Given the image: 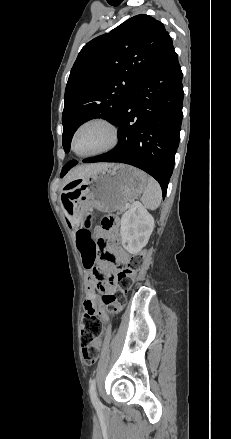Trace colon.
<instances>
[{"instance_id":"1","label":"colon","mask_w":231,"mask_h":439,"mask_svg":"<svg viewBox=\"0 0 231 439\" xmlns=\"http://www.w3.org/2000/svg\"><path fill=\"white\" fill-rule=\"evenodd\" d=\"M72 188L71 185L66 187V191ZM114 218L106 216L102 219L100 227L104 231H109L114 225ZM103 240V239H101ZM97 249L88 250L82 259L83 266L93 273L99 282L104 281V275L95 267V260L98 256ZM111 260L112 258L109 257ZM144 261L143 254L131 256L124 264L118 266V272L114 275L113 285L110 290L103 291L101 300L105 306L99 315L92 309L84 310L81 317V347L84 361L87 365H93L99 356L98 348L94 343L99 339L103 322L110 315L119 311L125 302V295L131 289L137 272L142 268Z\"/></svg>"}]
</instances>
